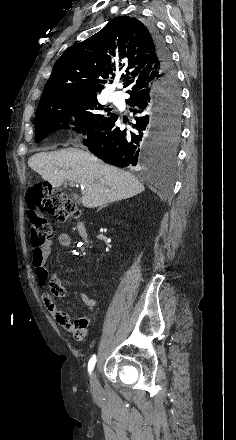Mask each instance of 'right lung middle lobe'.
Listing matches in <instances>:
<instances>
[{"label":"right lung middle lobe","mask_w":236,"mask_h":440,"mask_svg":"<svg viewBox=\"0 0 236 440\" xmlns=\"http://www.w3.org/2000/svg\"><path fill=\"white\" fill-rule=\"evenodd\" d=\"M163 95L173 103L166 111L164 129L159 135L162 147L160 158L172 159L180 133V89L179 87L167 88L163 91ZM101 111L108 112L109 109L99 104L96 94H70L44 99L39 102L35 114V142H40L52 131L69 128L70 115L76 116L74 130L85 133L111 115L110 112L102 114Z\"/></svg>","instance_id":"dd1d6c3e"}]
</instances>
